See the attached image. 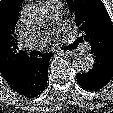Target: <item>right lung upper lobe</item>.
I'll list each match as a JSON object with an SVG mask.
<instances>
[{
    "mask_svg": "<svg viewBox=\"0 0 113 113\" xmlns=\"http://www.w3.org/2000/svg\"><path fill=\"white\" fill-rule=\"evenodd\" d=\"M20 4L21 0H0V72L8 84L21 77L31 59L17 50L14 31Z\"/></svg>",
    "mask_w": 113,
    "mask_h": 113,
    "instance_id": "cb5924a9",
    "label": "right lung upper lobe"
}]
</instances>
